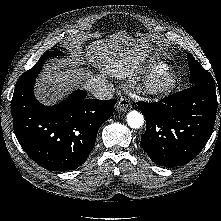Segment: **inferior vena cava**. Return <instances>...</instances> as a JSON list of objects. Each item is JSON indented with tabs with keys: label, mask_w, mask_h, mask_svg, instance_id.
Masks as SVG:
<instances>
[{
	"label": "inferior vena cava",
	"mask_w": 221,
	"mask_h": 221,
	"mask_svg": "<svg viewBox=\"0 0 221 221\" xmlns=\"http://www.w3.org/2000/svg\"><path fill=\"white\" fill-rule=\"evenodd\" d=\"M115 88L111 84H105L98 86L91 90V93L96 99L100 100H109L113 98Z\"/></svg>",
	"instance_id": "inferior-vena-cava-1"
}]
</instances>
